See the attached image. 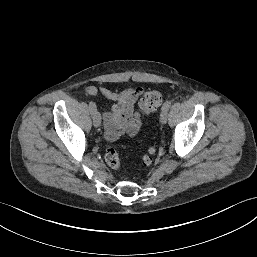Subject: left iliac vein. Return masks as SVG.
I'll use <instances>...</instances> for the list:
<instances>
[{
    "mask_svg": "<svg viewBox=\"0 0 257 257\" xmlns=\"http://www.w3.org/2000/svg\"><path fill=\"white\" fill-rule=\"evenodd\" d=\"M160 122L162 124H165L167 122V111H161V114H160Z\"/></svg>",
    "mask_w": 257,
    "mask_h": 257,
    "instance_id": "left-iliac-vein-1",
    "label": "left iliac vein"
}]
</instances>
